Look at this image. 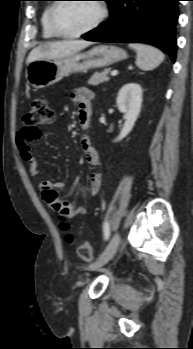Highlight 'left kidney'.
<instances>
[{
	"label": "left kidney",
	"mask_w": 193,
	"mask_h": 349,
	"mask_svg": "<svg viewBox=\"0 0 193 349\" xmlns=\"http://www.w3.org/2000/svg\"><path fill=\"white\" fill-rule=\"evenodd\" d=\"M116 103L120 112L124 113L126 119L119 136L114 140L121 141L133 129L140 114L142 105V88L137 83L125 84L118 93Z\"/></svg>",
	"instance_id": "left-kidney-1"
}]
</instances>
